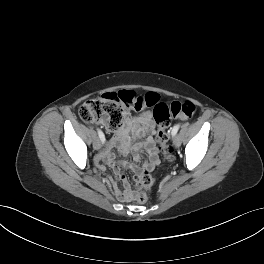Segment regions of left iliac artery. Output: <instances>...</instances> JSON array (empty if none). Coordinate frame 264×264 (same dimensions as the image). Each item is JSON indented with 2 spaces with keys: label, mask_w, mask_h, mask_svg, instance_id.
Instances as JSON below:
<instances>
[{
  "label": "left iliac artery",
  "mask_w": 264,
  "mask_h": 264,
  "mask_svg": "<svg viewBox=\"0 0 264 264\" xmlns=\"http://www.w3.org/2000/svg\"><path fill=\"white\" fill-rule=\"evenodd\" d=\"M179 128H180V125H175V126L172 128V132H171L172 136H174V135L177 134Z\"/></svg>",
  "instance_id": "left-iliac-artery-1"
}]
</instances>
